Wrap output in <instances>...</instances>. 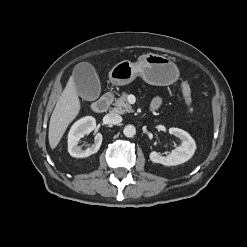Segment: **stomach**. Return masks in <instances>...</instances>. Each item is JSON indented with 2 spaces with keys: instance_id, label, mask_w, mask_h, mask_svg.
Wrapping results in <instances>:
<instances>
[{
  "instance_id": "obj_1",
  "label": "stomach",
  "mask_w": 247,
  "mask_h": 247,
  "mask_svg": "<svg viewBox=\"0 0 247 247\" xmlns=\"http://www.w3.org/2000/svg\"><path fill=\"white\" fill-rule=\"evenodd\" d=\"M137 76L148 84L166 86L178 79L179 71L169 58L147 53L135 63L129 60L119 62L109 72V80L118 86L131 83Z\"/></svg>"
}]
</instances>
